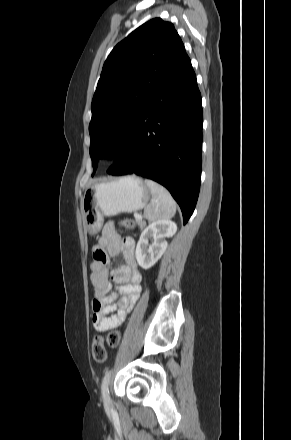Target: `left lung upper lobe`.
Wrapping results in <instances>:
<instances>
[{"label": "left lung upper lobe", "mask_w": 291, "mask_h": 440, "mask_svg": "<svg viewBox=\"0 0 291 440\" xmlns=\"http://www.w3.org/2000/svg\"><path fill=\"white\" fill-rule=\"evenodd\" d=\"M186 55L173 24L152 19L118 43L106 59L89 124L94 172L102 147L117 157L133 136L157 90Z\"/></svg>", "instance_id": "1"}]
</instances>
